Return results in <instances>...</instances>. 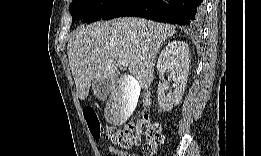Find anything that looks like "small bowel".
Listing matches in <instances>:
<instances>
[{"mask_svg":"<svg viewBox=\"0 0 261 156\" xmlns=\"http://www.w3.org/2000/svg\"><path fill=\"white\" fill-rule=\"evenodd\" d=\"M127 154L128 152L121 147L109 146L107 156H126Z\"/></svg>","mask_w":261,"mask_h":156,"instance_id":"1","label":"small bowel"}]
</instances>
